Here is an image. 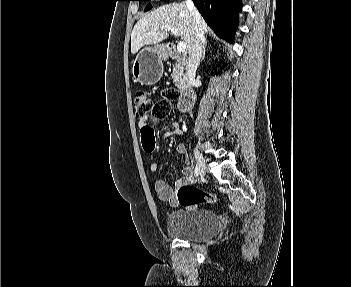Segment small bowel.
Segmentation results:
<instances>
[{"instance_id":"small-bowel-1","label":"small bowel","mask_w":351,"mask_h":287,"mask_svg":"<svg viewBox=\"0 0 351 287\" xmlns=\"http://www.w3.org/2000/svg\"><path fill=\"white\" fill-rule=\"evenodd\" d=\"M138 126L140 128V139L142 145V156H156V132L153 124H148L147 116L140 117L138 120ZM183 128L179 123H172L168 131L163 134V138H168L170 136L182 135ZM176 152L184 158L185 166L182 168V178L176 181V188H180L183 185L190 184L193 182V171L190 166L189 160L186 155V147L183 143H178L176 145ZM148 170L150 172H156L157 165L156 163H149ZM155 191L158 194V197L162 201H167L173 206L178 205V200L176 197V192L173 188L166 184L162 179H156L154 182Z\"/></svg>"}]
</instances>
